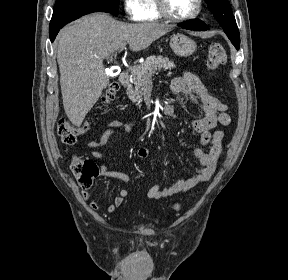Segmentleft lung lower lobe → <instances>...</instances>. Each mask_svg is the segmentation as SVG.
Listing matches in <instances>:
<instances>
[{
	"label": "left lung lower lobe",
	"mask_w": 288,
	"mask_h": 280,
	"mask_svg": "<svg viewBox=\"0 0 288 280\" xmlns=\"http://www.w3.org/2000/svg\"><path fill=\"white\" fill-rule=\"evenodd\" d=\"M180 27L186 28V29H190V30H198V31H205L207 30V26L206 24L199 20V19H195L193 21H189V22H185L182 24H179ZM236 49H239L240 46L235 45Z\"/></svg>",
	"instance_id": "0a47b994"
}]
</instances>
